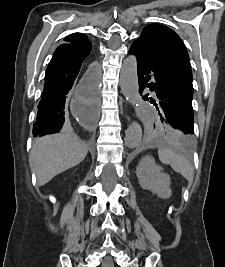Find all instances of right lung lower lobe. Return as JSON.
Returning a JSON list of instances; mask_svg holds the SVG:
<instances>
[{
  "label": "right lung lower lobe",
  "mask_w": 225,
  "mask_h": 267,
  "mask_svg": "<svg viewBox=\"0 0 225 267\" xmlns=\"http://www.w3.org/2000/svg\"><path fill=\"white\" fill-rule=\"evenodd\" d=\"M90 51V42L63 43L56 48L46 69L42 98L33 127L34 137L58 133L65 128V102ZM95 91V81H91L88 97L92 98Z\"/></svg>",
  "instance_id": "obj_1"
}]
</instances>
